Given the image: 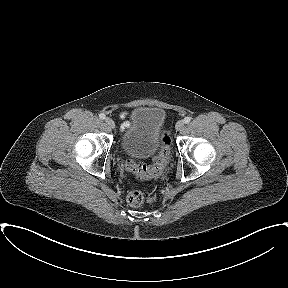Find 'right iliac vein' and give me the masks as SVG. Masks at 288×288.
Masks as SVG:
<instances>
[{
    "label": "right iliac vein",
    "mask_w": 288,
    "mask_h": 288,
    "mask_svg": "<svg viewBox=\"0 0 288 288\" xmlns=\"http://www.w3.org/2000/svg\"><path fill=\"white\" fill-rule=\"evenodd\" d=\"M105 121H106L107 125H108L110 128H114V127H115V122L113 121V119L107 117Z\"/></svg>",
    "instance_id": "right-iliac-vein-1"
}]
</instances>
